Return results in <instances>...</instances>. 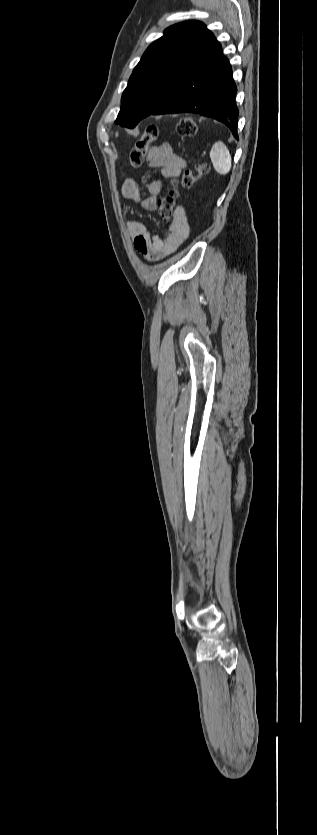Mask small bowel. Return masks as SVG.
I'll list each match as a JSON object with an SVG mask.
<instances>
[{
    "label": "small bowel",
    "instance_id": "1",
    "mask_svg": "<svg viewBox=\"0 0 317 835\" xmlns=\"http://www.w3.org/2000/svg\"><path fill=\"white\" fill-rule=\"evenodd\" d=\"M146 162L151 168L158 170V175L150 177L146 185L148 195L143 196L140 185L129 178L123 180L121 194L125 199L138 203L144 210L155 211L158 196L163 189V179L179 177L186 167V162L174 153L169 145L149 149ZM126 226L135 249L149 262L161 260L175 252L189 234L188 222L182 209L177 211L165 238L152 234L143 223L136 220L127 221Z\"/></svg>",
    "mask_w": 317,
    "mask_h": 835
}]
</instances>
